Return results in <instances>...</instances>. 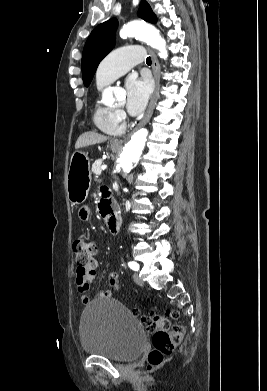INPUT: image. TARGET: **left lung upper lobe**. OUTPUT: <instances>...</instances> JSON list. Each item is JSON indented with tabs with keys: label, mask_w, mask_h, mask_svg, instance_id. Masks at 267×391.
Returning <instances> with one entry per match:
<instances>
[{
	"label": "left lung upper lobe",
	"mask_w": 267,
	"mask_h": 391,
	"mask_svg": "<svg viewBox=\"0 0 267 391\" xmlns=\"http://www.w3.org/2000/svg\"><path fill=\"white\" fill-rule=\"evenodd\" d=\"M138 16L145 21L156 23L157 18L146 1L140 4ZM118 21L113 18L98 25L88 37L82 55V74L85 86H88L100 61L115 45V32Z\"/></svg>",
	"instance_id": "1"
}]
</instances>
